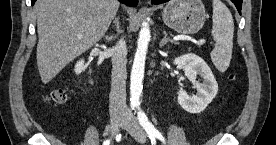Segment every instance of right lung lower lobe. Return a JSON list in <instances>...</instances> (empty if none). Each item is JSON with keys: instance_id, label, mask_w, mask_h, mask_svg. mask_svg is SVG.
<instances>
[{"instance_id": "98d812e1", "label": "right lung lower lobe", "mask_w": 276, "mask_h": 145, "mask_svg": "<svg viewBox=\"0 0 276 145\" xmlns=\"http://www.w3.org/2000/svg\"><path fill=\"white\" fill-rule=\"evenodd\" d=\"M35 1L36 0H31L32 5L34 4ZM118 1L132 7H135L138 3V0H118Z\"/></svg>"}]
</instances>
